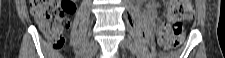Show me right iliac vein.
Here are the masks:
<instances>
[{"label":"right iliac vein","mask_w":225,"mask_h":58,"mask_svg":"<svg viewBox=\"0 0 225 58\" xmlns=\"http://www.w3.org/2000/svg\"><path fill=\"white\" fill-rule=\"evenodd\" d=\"M97 49H98V44L96 41H91L88 48H87V51H86V54H85V58H92L95 53L97 52Z\"/></svg>","instance_id":"63e3f726"}]
</instances>
